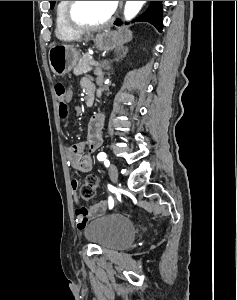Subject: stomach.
I'll return each mask as SVG.
<instances>
[{
  "label": "stomach",
  "instance_id": "0dacf381",
  "mask_svg": "<svg viewBox=\"0 0 237 300\" xmlns=\"http://www.w3.org/2000/svg\"><path fill=\"white\" fill-rule=\"evenodd\" d=\"M88 39L94 41L98 51H112L124 43L132 41V33L127 27L118 29V31H97L96 35H88ZM80 53L74 49L73 45H54L50 47L48 53L49 65L54 75L63 77L70 73L75 67Z\"/></svg>",
  "mask_w": 237,
  "mask_h": 300
}]
</instances>
